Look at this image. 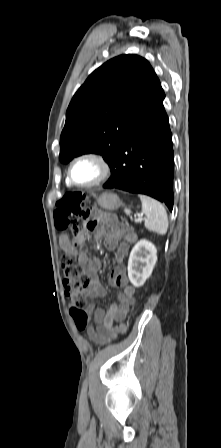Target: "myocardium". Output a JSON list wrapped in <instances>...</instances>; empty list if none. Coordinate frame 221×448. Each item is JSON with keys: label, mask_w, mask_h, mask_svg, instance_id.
I'll use <instances>...</instances> for the list:
<instances>
[{"label": "myocardium", "mask_w": 221, "mask_h": 448, "mask_svg": "<svg viewBox=\"0 0 221 448\" xmlns=\"http://www.w3.org/2000/svg\"><path fill=\"white\" fill-rule=\"evenodd\" d=\"M84 159H89V160L96 162L101 169V173H100V176L96 180H94L90 183L81 184V183H77L76 181L73 180L71 172H72L73 165L77 161L84 160ZM112 174H113V168L105 156H103L102 154L96 153V152H87V153L78 155L70 162V164L68 166V170H67V180L71 185H74L76 187L91 188V187L99 186V185L105 183L106 181H108L110 179Z\"/></svg>", "instance_id": "myocardium-1"}]
</instances>
